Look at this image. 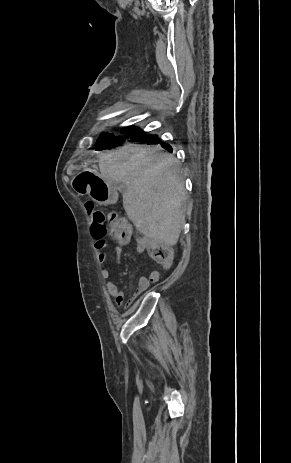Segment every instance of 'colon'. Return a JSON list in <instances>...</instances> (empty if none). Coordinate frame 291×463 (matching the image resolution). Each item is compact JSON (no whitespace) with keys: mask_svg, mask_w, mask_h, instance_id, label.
Returning a JSON list of instances; mask_svg holds the SVG:
<instances>
[{"mask_svg":"<svg viewBox=\"0 0 291 463\" xmlns=\"http://www.w3.org/2000/svg\"><path fill=\"white\" fill-rule=\"evenodd\" d=\"M87 211L92 220L91 235L95 241V247L102 249L106 245V238L112 235L117 240H127L134 236V231L129 221L115 212H105L96 207L92 202L86 203ZM141 249L146 250L151 258L163 268H168L173 262V250L151 239L140 237Z\"/></svg>","mask_w":291,"mask_h":463,"instance_id":"5ec220e1","label":"colon"}]
</instances>
